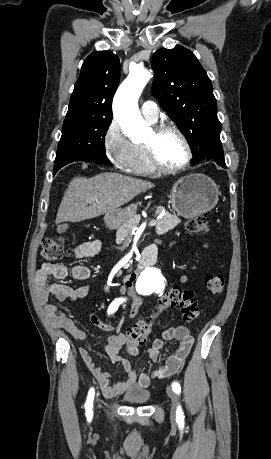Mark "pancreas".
Wrapping results in <instances>:
<instances>
[{
	"label": "pancreas",
	"mask_w": 271,
	"mask_h": 459,
	"mask_svg": "<svg viewBox=\"0 0 271 459\" xmlns=\"http://www.w3.org/2000/svg\"><path fill=\"white\" fill-rule=\"evenodd\" d=\"M160 212H162V210H160ZM173 218H177V216H171L169 212H165V216H163V218L154 221L156 224L155 226L157 233H166V231L172 232L178 226V221ZM136 226H138V222H136L134 218L129 220L127 224L120 226V228H118L116 231L117 241H123L124 243H127L128 239H130L132 235V229L136 228Z\"/></svg>",
	"instance_id": "cf45deb5"
}]
</instances>
